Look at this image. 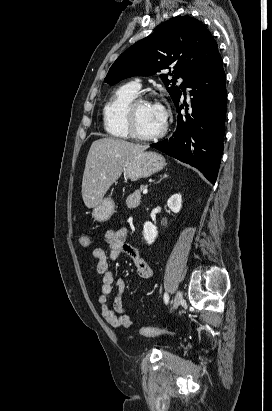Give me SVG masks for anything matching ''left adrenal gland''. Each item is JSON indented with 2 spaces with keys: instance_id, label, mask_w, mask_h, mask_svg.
<instances>
[{
  "instance_id": "left-adrenal-gland-1",
  "label": "left adrenal gland",
  "mask_w": 272,
  "mask_h": 411,
  "mask_svg": "<svg viewBox=\"0 0 272 411\" xmlns=\"http://www.w3.org/2000/svg\"><path fill=\"white\" fill-rule=\"evenodd\" d=\"M166 177H168V174H164L163 176H161V178H160L159 181H161L162 179H164V178H166Z\"/></svg>"
}]
</instances>
